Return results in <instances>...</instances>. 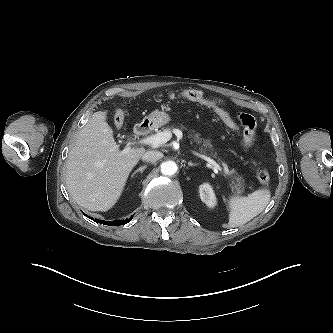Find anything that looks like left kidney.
I'll return each instance as SVG.
<instances>
[{"instance_id": "obj_1", "label": "left kidney", "mask_w": 333, "mask_h": 333, "mask_svg": "<svg viewBox=\"0 0 333 333\" xmlns=\"http://www.w3.org/2000/svg\"><path fill=\"white\" fill-rule=\"evenodd\" d=\"M199 193L201 200L210 208H213L217 204V199L212 186L208 183H204L199 186Z\"/></svg>"}]
</instances>
